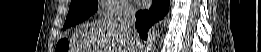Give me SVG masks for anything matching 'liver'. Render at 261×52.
<instances>
[{
	"mask_svg": "<svg viewBox=\"0 0 261 52\" xmlns=\"http://www.w3.org/2000/svg\"><path fill=\"white\" fill-rule=\"evenodd\" d=\"M77 52H134L132 40L117 18L105 17L82 25L74 35Z\"/></svg>",
	"mask_w": 261,
	"mask_h": 52,
	"instance_id": "obj_1",
	"label": "liver"
}]
</instances>
